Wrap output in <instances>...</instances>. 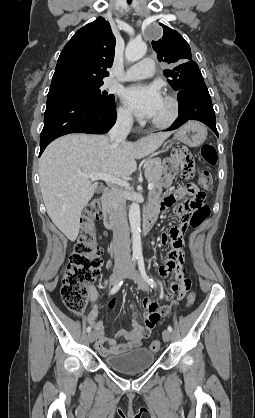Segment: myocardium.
Segmentation results:
<instances>
[{
  "instance_id": "1",
  "label": "myocardium",
  "mask_w": 255,
  "mask_h": 418,
  "mask_svg": "<svg viewBox=\"0 0 255 418\" xmlns=\"http://www.w3.org/2000/svg\"><path fill=\"white\" fill-rule=\"evenodd\" d=\"M164 99L170 106V112L164 119H152L151 125L158 129H166L170 127L178 118L180 112V103L178 98L173 94H165Z\"/></svg>"
}]
</instances>
